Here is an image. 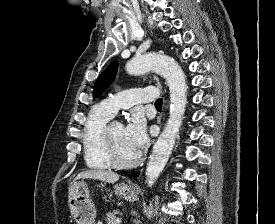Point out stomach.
<instances>
[{
  "label": "stomach",
  "mask_w": 275,
  "mask_h": 224,
  "mask_svg": "<svg viewBox=\"0 0 275 224\" xmlns=\"http://www.w3.org/2000/svg\"><path fill=\"white\" fill-rule=\"evenodd\" d=\"M114 192L127 201L137 199V189L126 183L116 184ZM71 215L77 224H95L96 208L89 196V189L84 181L71 183L68 196Z\"/></svg>",
  "instance_id": "stomach-1"
}]
</instances>
